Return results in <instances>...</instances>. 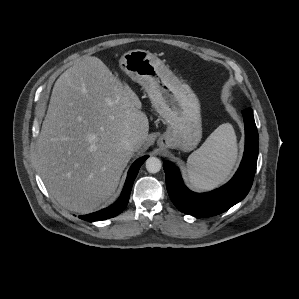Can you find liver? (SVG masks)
Listing matches in <instances>:
<instances>
[{"mask_svg":"<svg viewBox=\"0 0 299 299\" xmlns=\"http://www.w3.org/2000/svg\"><path fill=\"white\" fill-rule=\"evenodd\" d=\"M135 92L97 57L86 56L55 82L37 140L36 165L51 196L86 214L111 197L149 122ZM135 139L134 151L121 147Z\"/></svg>","mask_w":299,"mask_h":299,"instance_id":"obj_1","label":"liver"}]
</instances>
